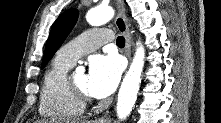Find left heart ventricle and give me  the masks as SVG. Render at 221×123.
<instances>
[{"label": "left heart ventricle", "mask_w": 221, "mask_h": 123, "mask_svg": "<svg viewBox=\"0 0 221 123\" xmlns=\"http://www.w3.org/2000/svg\"><path fill=\"white\" fill-rule=\"evenodd\" d=\"M72 80L78 88H80L85 93L92 95L91 92H90V89H89V80H88V75L87 74H85V73L75 74L72 77Z\"/></svg>", "instance_id": "1"}]
</instances>
